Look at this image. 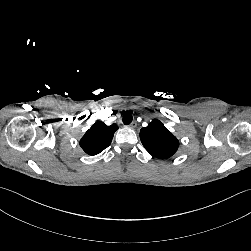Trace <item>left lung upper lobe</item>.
Returning a JSON list of instances; mask_svg holds the SVG:
<instances>
[{
    "label": "left lung upper lobe",
    "instance_id": "5c2ea615",
    "mask_svg": "<svg viewBox=\"0 0 251 251\" xmlns=\"http://www.w3.org/2000/svg\"><path fill=\"white\" fill-rule=\"evenodd\" d=\"M140 139L145 149L159 159L171 157L179 146L178 139L159 120L142 128Z\"/></svg>",
    "mask_w": 251,
    "mask_h": 251
}]
</instances>
